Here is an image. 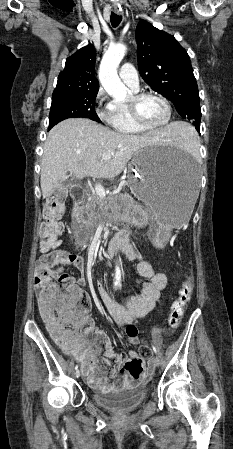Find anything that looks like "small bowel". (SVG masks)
I'll return each mask as SVG.
<instances>
[{"label":"small bowel","mask_w":233,"mask_h":449,"mask_svg":"<svg viewBox=\"0 0 233 449\" xmlns=\"http://www.w3.org/2000/svg\"><path fill=\"white\" fill-rule=\"evenodd\" d=\"M132 258L138 260L137 272L140 276L148 279L143 284L142 293L138 296L127 297L123 304L114 302L102 285H99L97 291L109 309L114 322L124 327L127 342L130 345L139 343V329L135 321L146 316L155 307L161 291L166 287L167 278L162 273H156L150 263L139 258L134 250L130 253ZM52 265L71 266L76 268L80 276L76 284L84 286L86 283V273L83 259L75 254L63 252L52 260ZM73 282V279H72ZM98 334V333H97ZM65 354L73 356L81 363L82 371L87 377L88 383L94 388H101L106 384L107 390H131L133 384H142V375H118V366L112 371L111 375H102L105 373L110 360L120 363L126 354L117 353L107 337H103L102 342L96 345H87L84 337H78L68 340L65 344L56 343ZM101 346L104 348L103 366L100 365L97 350ZM132 353H129L131 355ZM152 361L149 363L148 372L151 370Z\"/></svg>","instance_id":"small-bowel-1"}]
</instances>
